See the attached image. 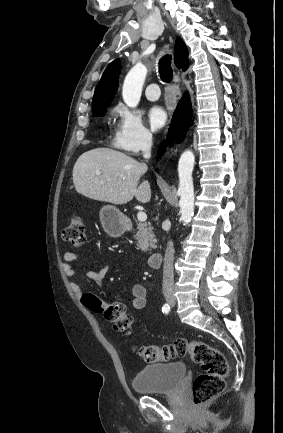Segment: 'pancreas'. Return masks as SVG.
Instances as JSON below:
<instances>
[{
    "label": "pancreas",
    "instance_id": "pancreas-1",
    "mask_svg": "<svg viewBox=\"0 0 283 433\" xmlns=\"http://www.w3.org/2000/svg\"><path fill=\"white\" fill-rule=\"evenodd\" d=\"M137 229L138 231L136 235H134L135 239H137V247L142 249L144 253L151 251L149 247H153L156 243L152 227H147V225H143V223H138ZM148 255H151V253H148Z\"/></svg>",
    "mask_w": 283,
    "mask_h": 433
}]
</instances>
